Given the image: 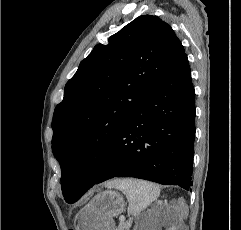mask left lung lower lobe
<instances>
[{
	"label": "left lung lower lobe",
	"instance_id": "left-lung-lower-lobe-1",
	"mask_svg": "<svg viewBox=\"0 0 241 230\" xmlns=\"http://www.w3.org/2000/svg\"><path fill=\"white\" fill-rule=\"evenodd\" d=\"M194 138L195 91L185 54L145 96L117 137L80 160L79 198L93 185L114 177H135L191 191Z\"/></svg>",
	"mask_w": 241,
	"mask_h": 230
}]
</instances>
